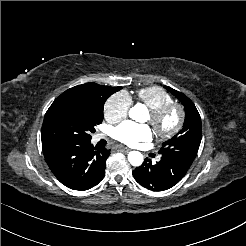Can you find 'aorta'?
<instances>
[{
  "mask_svg": "<svg viewBox=\"0 0 246 246\" xmlns=\"http://www.w3.org/2000/svg\"><path fill=\"white\" fill-rule=\"evenodd\" d=\"M144 111L145 106L137 104L129 110V116L131 119L140 122ZM128 161L132 166H140L143 163V155L139 151H131L128 154Z\"/></svg>",
  "mask_w": 246,
  "mask_h": 246,
  "instance_id": "obj_1",
  "label": "aorta"
}]
</instances>
